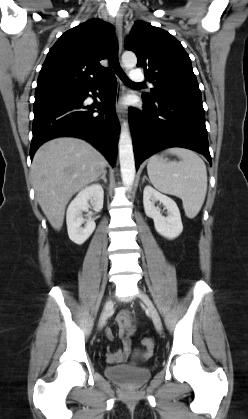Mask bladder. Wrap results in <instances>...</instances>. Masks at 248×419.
<instances>
[{
    "label": "bladder",
    "mask_w": 248,
    "mask_h": 419,
    "mask_svg": "<svg viewBox=\"0 0 248 419\" xmlns=\"http://www.w3.org/2000/svg\"><path fill=\"white\" fill-rule=\"evenodd\" d=\"M108 379L117 382L125 388H139L151 378V371L133 365L107 366L104 370Z\"/></svg>",
    "instance_id": "31cf9c89"
}]
</instances>
